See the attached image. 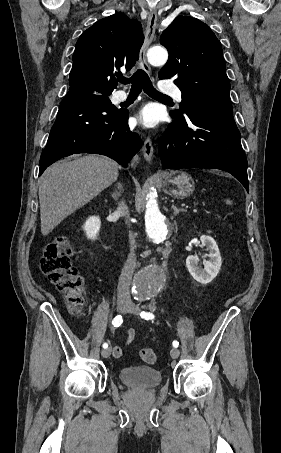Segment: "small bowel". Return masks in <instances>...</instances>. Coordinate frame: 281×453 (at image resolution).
<instances>
[{"mask_svg": "<svg viewBox=\"0 0 281 453\" xmlns=\"http://www.w3.org/2000/svg\"><path fill=\"white\" fill-rule=\"evenodd\" d=\"M135 338V331L133 329L127 330V338H126V345H130ZM123 348L120 346H114L111 348V353L114 356H120L122 354Z\"/></svg>", "mask_w": 281, "mask_h": 453, "instance_id": "1", "label": "small bowel"}]
</instances>
